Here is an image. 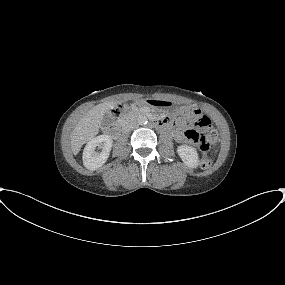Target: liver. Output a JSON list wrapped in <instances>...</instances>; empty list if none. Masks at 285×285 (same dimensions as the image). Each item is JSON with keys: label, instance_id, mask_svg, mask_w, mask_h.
Returning <instances> with one entry per match:
<instances>
[{"label": "liver", "instance_id": "6515ba94", "mask_svg": "<svg viewBox=\"0 0 285 285\" xmlns=\"http://www.w3.org/2000/svg\"><path fill=\"white\" fill-rule=\"evenodd\" d=\"M122 102L123 101H110L98 104L80 119L70 138L74 155L78 154L81 147L98 134L105 113Z\"/></svg>", "mask_w": 285, "mask_h": 285}]
</instances>
